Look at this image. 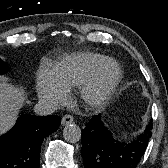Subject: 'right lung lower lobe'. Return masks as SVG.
<instances>
[{
    "mask_svg": "<svg viewBox=\"0 0 168 168\" xmlns=\"http://www.w3.org/2000/svg\"><path fill=\"white\" fill-rule=\"evenodd\" d=\"M60 122L54 115L21 114L13 129L0 136V168H39L41 144Z\"/></svg>",
    "mask_w": 168,
    "mask_h": 168,
    "instance_id": "right-lung-lower-lobe-1",
    "label": "right lung lower lobe"
}]
</instances>
